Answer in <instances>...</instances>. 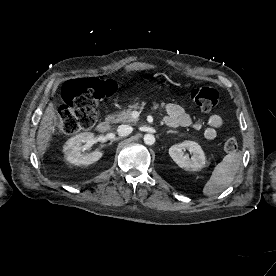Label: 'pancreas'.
Here are the masks:
<instances>
[{"instance_id":"1","label":"pancreas","mask_w":276,"mask_h":276,"mask_svg":"<svg viewBox=\"0 0 276 276\" xmlns=\"http://www.w3.org/2000/svg\"><path fill=\"white\" fill-rule=\"evenodd\" d=\"M161 105H162L161 107H163V104H161ZM140 108H141V106L138 104L131 105V106H129L128 109H125V110L121 111L120 113L108 115L106 120L111 123L122 122V123L136 124L138 119H136L132 116V112H133V110H137ZM157 108H159V105L156 103H153L152 109H157Z\"/></svg>"}]
</instances>
